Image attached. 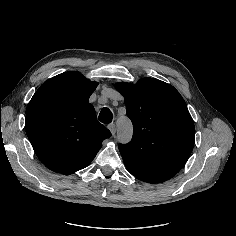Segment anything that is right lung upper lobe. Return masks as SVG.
<instances>
[{"mask_svg": "<svg viewBox=\"0 0 236 236\" xmlns=\"http://www.w3.org/2000/svg\"><path fill=\"white\" fill-rule=\"evenodd\" d=\"M97 85L78 72H65L46 81L30 100L27 136L50 170L66 175L87 167L111 136L88 103Z\"/></svg>", "mask_w": 236, "mask_h": 236, "instance_id": "right-lung-upper-lobe-1", "label": "right lung upper lobe"}]
</instances>
